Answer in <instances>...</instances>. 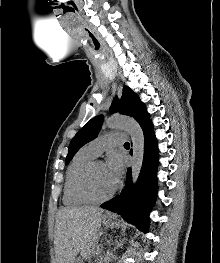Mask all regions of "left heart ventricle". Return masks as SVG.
Here are the masks:
<instances>
[{
    "label": "left heart ventricle",
    "mask_w": 220,
    "mask_h": 263,
    "mask_svg": "<svg viewBox=\"0 0 220 263\" xmlns=\"http://www.w3.org/2000/svg\"><path fill=\"white\" fill-rule=\"evenodd\" d=\"M116 183L108 176L105 170V164L98 162L93 170L91 177V186L95 194L105 195L110 192Z\"/></svg>",
    "instance_id": "b2bd125f"
}]
</instances>
